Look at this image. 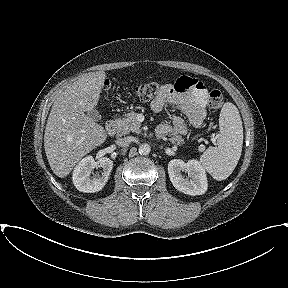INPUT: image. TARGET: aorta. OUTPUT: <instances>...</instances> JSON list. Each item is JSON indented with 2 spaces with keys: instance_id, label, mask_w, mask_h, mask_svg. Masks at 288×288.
<instances>
[{
  "instance_id": "1",
  "label": "aorta",
  "mask_w": 288,
  "mask_h": 288,
  "mask_svg": "<svg viewBox=\"0 0 288 288\" xmlns=\"http://www.w3.org/2000/svg\"><path fill=\"white\" fill-rule=\"evenodd\" d=\"M138 151L141 155H148L151 151V147L149 144L144 143L139 146Z\"/></svg>"
}]
</instances>
